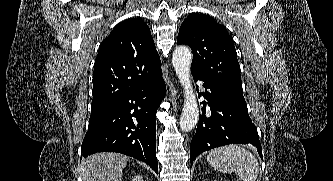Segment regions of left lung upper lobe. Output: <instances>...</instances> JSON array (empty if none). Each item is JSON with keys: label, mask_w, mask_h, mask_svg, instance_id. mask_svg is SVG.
<instances>
[{"label": "left lung upper lobe", "mask_w": 333, "mask_h": 181, "mask_svg": "<svg viewBox=\"0 0 333 181\" xmlns=\"http://www.w3.org/2000/svg\"><path fill=\"white\" fill-rule=\"evenodd\" d=\"M177 43L192 49V74L222 85L245 102L233 39L222 25L208 15L191 14L180 27Z\"/></svg>", "instance_id": "left-lung-upper-lobe-1"}]
</instances>
